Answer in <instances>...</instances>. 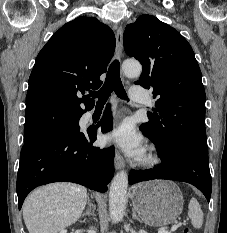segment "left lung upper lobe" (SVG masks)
Instances as JSON below:
<instances>
[{"instance_id": "obj_1", "label": "left lung upper lobe", "mask_w": 227, "mask_h": 233, "mask_svg": "<svg viewBox=\"0 0 227 233\" xmlns=\"http://www.w3.org/2000/svg\"><path fill=\"white\" fill-rule=\"evenodd\" d=\"M124 48L143 66L136 84L153 90L154 113L140 129L166 153L178 144L207 152L205 90L194 52L174 28L154 16L142 15L126 26Z\"/></svg>"}]
</instances>
